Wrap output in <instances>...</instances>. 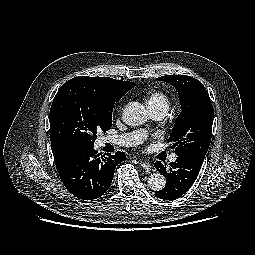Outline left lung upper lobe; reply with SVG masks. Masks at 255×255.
Here are the masks:
<instances>
[{"label": "left lung upper lobe", "instance_id": "1", "mask_svg": "<svg viewBox=\"0 0 255 255\" xmlns=\"http://www.w3.org/2000/svg\"><path fill=\"white\" fill-rule=\"evenodd\" d=\"M170 83L179 94L181 113L168 142L177 156L203 161L211 141L214 110L208 91L197 79L187 75H166L157 78Z\"/></svg>", "mask_w": 255, "mask_h": 255}]
</instances>
